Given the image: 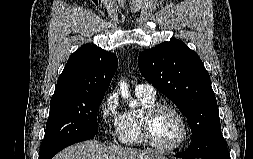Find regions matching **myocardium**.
I'll list each match as a JSON object with an SVG mask.
<instances>
[{"label": "myocardium", "mask_w": 253, "mask_h": 159, "mask_svg": "<svg viewBox=\"0 0 253 159\" xmlns=\"http://www.w3.org/2000/svg\"><path fill=\"white\" fill-rule=\"evenodd\" d=\"M162 110H169L175 113L182 124V135L178 142L172 146H161L155 141L153 137V120L155 116ZM140 133L142 141L147 146H150L161 152H174L179 150L186 143L189 135V125L182 112L175 106L165 103H155L143 111L140 123Z\"/></svg>", "instance_id": "obj_1"}]
</instances>
